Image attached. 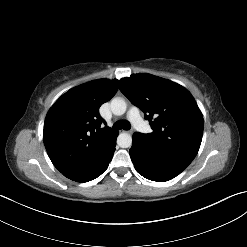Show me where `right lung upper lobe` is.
I'll return each mask as SVG.
<instances>
[{"mask_svg": "<svg viewBox=\"0 0 247 247\" xmlns=\"http://www.w3.org/2000/svg\"><path fill=\"white\" fill-rule=\"evenodd\" d=\"M118 90V81L100 79L78 86L62 95L48 112L43 140L54 166L62 173L80 170L109 146L117 131L99 115L100 106Z\"/></svg>", "mask_w": 247, "mask_h": 247, "instance_id": "obj_1", "label": "right lung upper lobe"}]
</instances>
